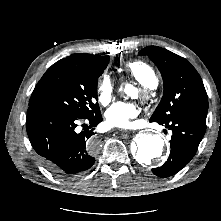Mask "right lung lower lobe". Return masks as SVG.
I'll use <instances>...</instances> for the list:
<instances>
[{
    "label": "right lung lower lobe",
    "mask_w": 221,
    "mask_h": 221,
    "mask_svg": "<svg viewBox=\"0 0 221 221\" xmlns=\"http://www.w3.org/2000/svg\"><path fill=\"white\" fill-rule=\"evenodd\" d=\"M80 121L90 128L96 127L102 115L80 118L54 108L37 105L28 108L26 129L31 145L46 169L59 177L78 176L95 162L94 144L89 139L93 132L77 133L75 128Z\"/></svg>",
    "instance_id": "obj_1"
}]
</instances>
